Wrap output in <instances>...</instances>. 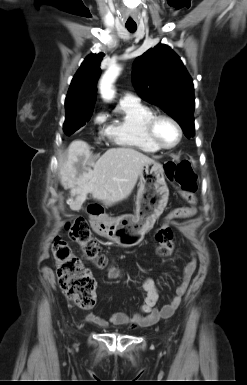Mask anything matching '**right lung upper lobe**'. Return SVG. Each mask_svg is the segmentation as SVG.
<instances>
[{"label":"right lung upper lobe","mask_w":247,"mask_h":385,"mask_svg":"<svg viewBox=\"0 0 247 385\" xmlns=\"http://www.w3.org/2000/svg\"><path fill=\"white\" fill-rule=\"evenodd\" d=\"M103 53L88 55L72 79L66 107H93L96 101V83L101 74L100 62Z\"/></svg>","instance_id":"right-lung-upper-lobe-1"}]
</instances>
